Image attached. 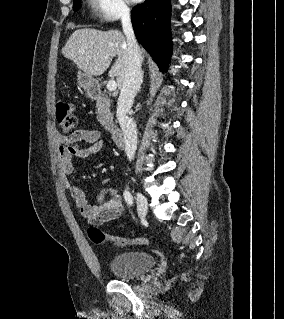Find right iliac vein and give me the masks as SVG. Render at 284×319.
Masks as SVG:
<instances>
[{
  "instance_id": "right-iliac-vein-1",
  "label": "right iliac vein",
  "mask_w": 284,
  "mask_h": 319,
  "mask_svg": "<svg viewBox=\"0 0 284 319\" xmlns=\"http://www.w3.org/2000/svg\"><path fill=\"white\" fill-rule=\"evenodd\" d=\"M136 200H137V209H138V214L141 218H144L147 214L148 211V202L145 196L137 192L136 193Z\"/></svg>"
}]
</instances>
